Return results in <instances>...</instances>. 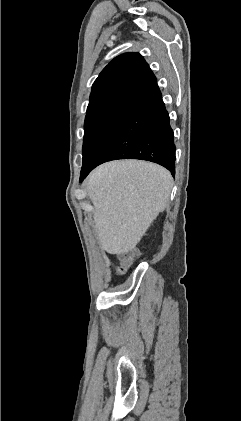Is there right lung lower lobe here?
Returning <instances> with one entry per match:
<instances>
[{
  "instance_id": "98d812e1",
  "label": "right lung lower lobe",
  "mask_w": 241,
  "mask_h": 421,
  "mask_svg": "<svg viewBox=\"0 0 241 421\" xmlns=\"http://www.w3.org/2000/svg\"><path fill=\"white\" fill-rule=\"evenodd\" d=\"M115 159H141L175 174L174 134L157 82L140 93L95 164L82 169L80 181L96 166Z\"/></svg>"
}]
</instances>
